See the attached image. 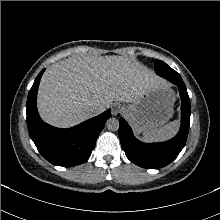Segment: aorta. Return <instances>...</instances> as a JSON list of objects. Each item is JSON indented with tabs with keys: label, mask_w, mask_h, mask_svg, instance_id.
I'll return each mask as SVG.
<instances>
[{
	"label": "aorta",
	"mask_w": 220,
	"mask_h": 220,
	"mask_svg": "<svg viewBox=\"0 0 220 220\" xmlns=\"http://www.w3.org/2000/svg\"><path fill=\"white\" fill-rule=\"evenodd\" d=\"M108 130L117 131L119 129V120L116 118H109L106 122Z\"/></svg>",
	"instance_id": "aorta-1"
}]
</instances>
